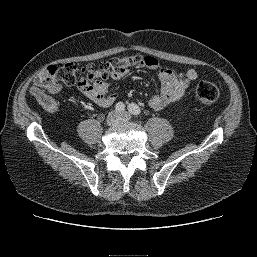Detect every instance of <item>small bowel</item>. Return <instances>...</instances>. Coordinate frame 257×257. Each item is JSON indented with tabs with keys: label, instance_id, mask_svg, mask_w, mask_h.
I'll use <instances>...</instances> for the list:
<instances>
[{
	"label": "small bowel",
	"instance_id": "1",
	"mask_svg": "<svg viewBox=\"0 0 257 257\" xmlns=\"http://www.w3.org/2000/svg\"><path fill=\"white\" fill-rule=\"evenodd\" d=\"M140 66L159 70L160 90L149 99V106L156 111H160L181 99L190 84L197 78V72L194 69H189L181 76H177L168 68H160L158 60L151 56L145 57ZM127 73L128 71L124 74H113L111 77L119 80ZM60 90L61 87L57 85L54 92H59ZM80 90L87 98L103 108L109 107L116 100V94L109 92L110 87L105 82L96 81L81 86Z\"/></svg>",
	"mask_w": 257,
	"mask_h": 257
}]
</instances>
